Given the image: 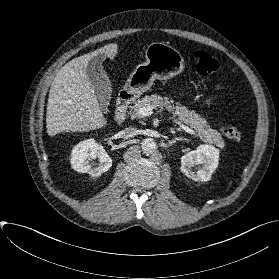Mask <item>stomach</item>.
Masks as SVG:
<instances>
[{
	"instance_id": "1",
	"label": "stomach",
	"mask_w": 279,
	"mask_h": 279,
	"mask_svg": "<svg viewBox=\"0 0 279 279\" xmlns=\"http://www.w3.org/2000/svg\"><path fill=\"white\" fill-rule=\"evenodd\" d=\"M145 58L146 62L137 66L128 80L134 91H145L156 78L167 80L184 70L185 61L181 53L163 42L151 43L146 49Z\"/></svg>"
}]
</instances>
